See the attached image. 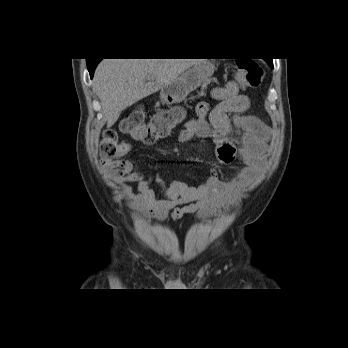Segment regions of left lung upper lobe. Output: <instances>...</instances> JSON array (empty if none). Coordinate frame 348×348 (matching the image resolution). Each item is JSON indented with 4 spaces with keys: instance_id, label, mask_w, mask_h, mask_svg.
Listing matches in <instances>:
<instances>
[{
    "instance_id": "1",
    "label": "left lung upper lobe",
    "mask_w": 348,
    "mask_h": 348,
    "mask_svg": "<svg viewBox=\"0 0 348 348\" xmlns=\"http://www.w3.org/2000/svg\"><path fill=\"white\" fill-rule=\"evenodd\" d=\"M267 62H268L270 65H273L272 60H267Z\"/></svg>"
}]
</instances>
